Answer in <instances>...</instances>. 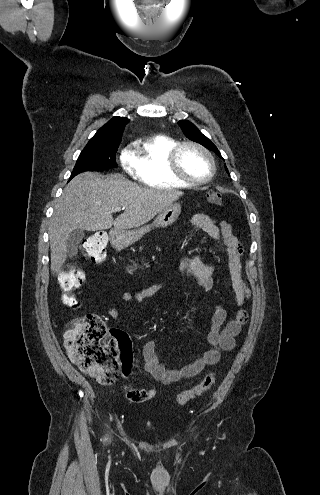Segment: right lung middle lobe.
Here are the masks:
<instances>
[{"label": "right lung middle lobe", "instance_id": "1", "mask_svg": "<svg viewBox=\"0 0 320 495\" xmlns=\"http://www.w3.org/2000/svg\"><path fill=\"white\" fill-rule=\"evenodd\" d=\"M117 145L86 146L80 153L70 179L85 171H101L117 167Z\"/></svg>", "mask_w": 320, "mask_h": 495}]
</instances>
